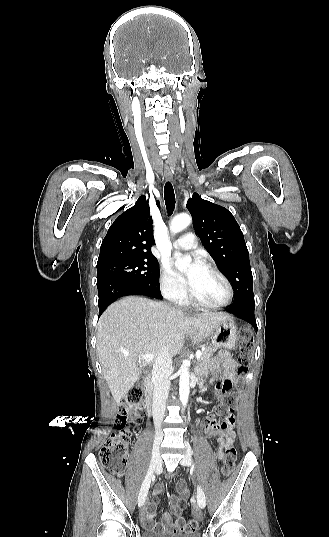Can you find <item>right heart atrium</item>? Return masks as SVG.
<instances>
[{
    "label": "right heart atrium",
    "mask_w": 329,
    "mask_h": 537,
    "mask_svg": "<svg viewBox=\"0 0 329 537\" xmlns=\"http://www.w3.org/2000/svg\"><path fill=\"white\" fill-rule=\"evenodd\" d=\"M159 285L163 295L172 301L181 302L186 297V287L182 279L167 263L161 266Z\"/></svg>",
    "instance_id": "1"
}]
</instances>
